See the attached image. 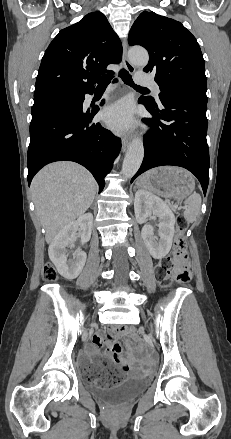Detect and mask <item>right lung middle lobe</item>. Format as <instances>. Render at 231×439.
<instances>
[{"instance_id": "1", "label": "right lung middle lobe", "mask_w": 231, "mask_h": 439, "mask_svg": "<svg viewBox=\"0 0 231 439\" xmlns=\"http://www.w3.org/2000/svg\"><path fill=\"white\" fill-rule=\"evenodd\" d=\"M78 94L52 93L34 98L32 121L40 120L76 106Z\"/></svg>"}]
</instances>
